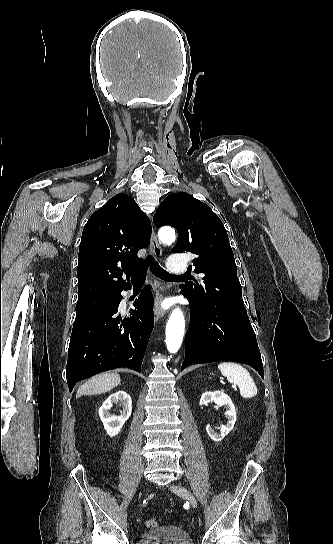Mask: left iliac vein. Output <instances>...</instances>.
<instances>
[{
	"mask_svg": "<svg viewBox=\"0 0 333 544\" xmlns=\"http://www.w3.org/2000/svg\"><path fill=\"white\" fill-rule=\"evenodd\" d=\"M169 489L171 492L177 494L178 496L187 499L193 508H197V500L190 490L182 485H170Z\"/></svg>",
	"mask_w": 333,
	"mask_h": 544,
	"instance_id": "4c4485c4",
	"label": "left iliac vein"
}]
</instances>
